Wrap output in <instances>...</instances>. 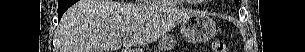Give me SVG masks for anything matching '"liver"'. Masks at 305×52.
Listing matches in <instances>:
<instances>
[{"label":"liver","instance_id":"6515ba94","mask_svg":"<svg viewBox=\"0 0 305 52\" xmlns=\"http://www.w3.org/2000/svg\"><path fill=\"white\" fill-rule=\"evenodd\" d=\"M191 14L166 3L133 5L113 0H80L61 19L60 52H100L99 48L114 52L122 44L126 48L147 45Z\"/></svg>","mask_w":305,"mask_h":52}]
</instances>
